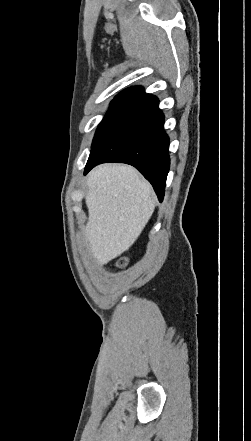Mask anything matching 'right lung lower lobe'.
<instances>
[{"label":"right lung lower lobe","mask_w":251,"mask_h":441,"mask_svg":"<svg viewBox=\"0 0 251 441\" xmlns=\"http://www.w3.org/2000/svg\"><path fill=\"white\" fill-rule=\"evenodd\" d=\"M158 104L157 97L150 94L131 103L96 142L84 174L105 162L130 164L152 184L162 202L170 158L169 137Z\"/></svg>","instance_id":"right-lung-lower-lobe-1"}]
</instances>
